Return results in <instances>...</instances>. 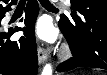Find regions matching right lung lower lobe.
Returning <instances> with one entry per match:
<instances>
[{
	"label": "right lung lower lobe",
	"instance_id": "obj_1",
	"mask_svg": "<svg viewBox=\"0 0 107 75\" xmlns=\"http://www.w3.org/2000/svg\"><path fill=\"white\" fill-rule=\"evenodd\" d=\"M10 2L0 11V21L10 10ZM24 35L18 41L9 38L21 28L4 31L0 26V73L3 75H37V48L34 35V24L39 12L37 0H29L26 7Z\"/></svg>",
	"mask_w": 107,
	"mask_h": 75
}]
</instances>
